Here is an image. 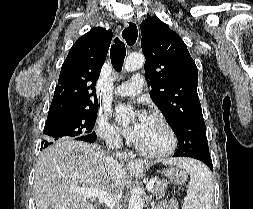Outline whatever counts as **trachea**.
Instances as JSON below:
<instances>
[{"label": "trachea", "mask_w": 253, "mask_h": 209, "mask_svg": "<svg viewBox=\"0 0 253 209\" xmlns=\"http://www.w3.org/2000/svg\"><path fill=\"white\" fill-rule=\"evenodd\" d=\"M114 45L110 49L111 63L115 70L121 71L123 66V61L126 56L125 44L118 38H115Z\"/></svg>", "instance_id": "trachea-1"}]
</instances>
